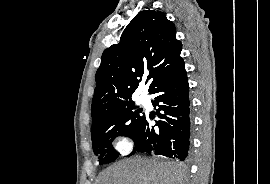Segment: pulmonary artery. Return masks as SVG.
Listing matches in <instances>:
<instances>
[{
  "mask_svg": "<svg viewBox=\"0 0 270 184\" xmlns=\"http://www.w3.org/2000/svg\"><path fill=\"white\" fill-rule=\"evenodd\" d=\"M142 101H144L145 99L144 98H141Z\"/></svg>",
  "mask_w": 270,
  "mask_h": 184,
  "instance_id": "e3ab8cb5",
  "label": "pulmonary artery"
}]
</instances>
